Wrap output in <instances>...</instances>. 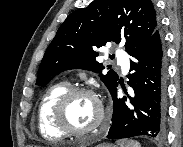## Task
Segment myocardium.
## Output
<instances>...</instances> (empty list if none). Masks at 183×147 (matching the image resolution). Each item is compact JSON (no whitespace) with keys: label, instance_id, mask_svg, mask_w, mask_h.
Segmentation results:
<instances>
[{"label":"myocardium","instance_id":"1","mask_svg":"<svg viewBox=\"0 0 183 147\" xmlns=\"http://www.w3.org/2000/svg\"><path fill=\"white\" fill-rule=\"evenodd\" d=\"M79 95H87L91 97L98 108V116L96 121L88 128L77 130L73 128L67 118V108L70 101ZM106 116L105 108L100 97L91 89L84 87H73L68 89L57 101L53 111V121L58 129L68 135L84 136L94 132L104 121Z\"/></svg>","mask_w":183,"mask_h":147}]
</instances>
